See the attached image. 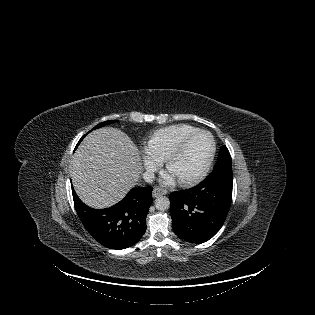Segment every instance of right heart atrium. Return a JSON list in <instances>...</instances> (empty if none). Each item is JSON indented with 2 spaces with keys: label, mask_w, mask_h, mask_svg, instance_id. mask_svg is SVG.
<instances>
[{
  "label": "right heart atrium",
  "mask_w": 315,
  "mask_h": 315,
  "mask_svg": "<svg viewBox=\"0 0 315 315\" xmlns=\"http://www.w3.org/2000/svg\"><path fill=\"white\" fill-rule=\"evenodd\" d=\"M142 158L144 166L148 172L155 170L160 164V161L155 158L147 149L143 151Z\"/></svg>",
  "instance_id": "1"
}]
</instances>
